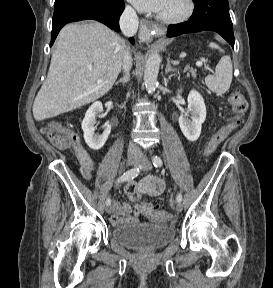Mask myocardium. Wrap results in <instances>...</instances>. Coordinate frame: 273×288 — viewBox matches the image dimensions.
<instances>
[{
  "label": "myocardium",
  "mask_w": 273,
  "mask_h": 288,
  "mask_svg": "<svg viewBox=\"0 0 273 288\" xmlns=\"http://www.w3.org/2000/svg\"><path fill=\"white\" fill-rule=\"evenodd\" d=\"M186 8L183 13L177 16H165L162 14L157 15V19L166 24H177L188 20L194 13L195 3L194 0H185Z\"/></svg>",
  "instance_id": "myocardium-1"
}]
</instances>
